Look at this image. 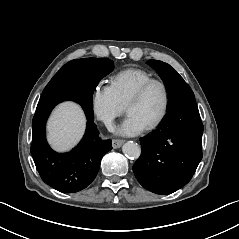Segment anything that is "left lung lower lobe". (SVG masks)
<instances>
[{
    "instance_id": "left-lung-lower-lobe-1",
    "label": "left lung lower lobe",
    "mask_w": 239,
    "mask_h": 239,
    "mask_svg": "<svg viewBox=\"0 0 239 239\" xmlns=\"http://www.w3.org/2000/svg\"><path fill=\"white\" fill-rule=\"evenodd\" d=\"M203 124L194 98L168 109L159 127L141 141V156L133 165L139 183L157 194L185 186L202 159Z\"/></svg>"
}]
</instances>
